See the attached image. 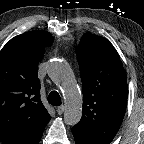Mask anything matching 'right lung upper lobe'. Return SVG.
Returning a JSON list of instances; mask_svg holds the SVG:
<instances>
[{
	"mask_svg": "<svg viewBox=\"0 0 144 144\" xmlns=\"http://www.w3.org/2000/svg\"><path fill=\"white\" fill-rule=\"evenodd\" d=\"M46 31L12 38L0 51V141L38 144L51 116L40 99L38 63L53 43Z\"/></svg>",
	"mask_w": 144,
	"mask_h": 144,
	"instance_id": "cb5924a9",
	"label": "right lung upper lobe"
}]
</instances>
